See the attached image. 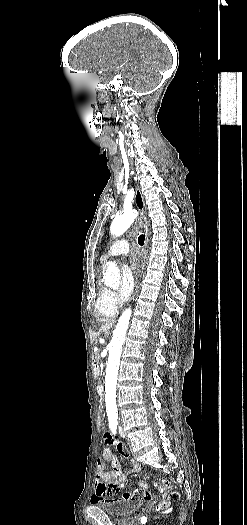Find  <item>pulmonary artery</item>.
I'll list each match as a JSON object with an SVG mask.
<instances>
[{
    "label": "pulmonary artery",
    "instance_id": "obj_1",
    "mask_svg": "<svg viewBox=\"0 0 247 525\" xmlns=\"http://www.w3.org/2000/svg\"><path fill=\"white\" fill-rule=\"evenodd\" d=\"M128 248L129 241L126 238L117 239L110 244L104 257L110 258L120 254L121 256L126 257L129 254Z\"/></svg>",
    "mask_w": 247,
    "mask_h": 525
}]
</instances>
